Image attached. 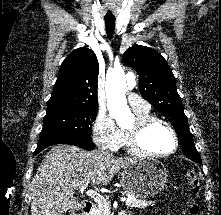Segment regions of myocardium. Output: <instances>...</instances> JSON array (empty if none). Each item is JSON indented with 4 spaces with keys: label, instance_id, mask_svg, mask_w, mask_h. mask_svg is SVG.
Here are the masks:
<instances>
[{
    "label": "myocardium",
    "instance_id": "obj_1",
    "mask_svg": "<svg viewBox=\"0 0 221 215\" xmlns=\"http://www.w3.org/2000/svg\"><path fill=\"white\" fill-rule=\"evenodd\" d=\"M155 123H161L164 126H166L173 137L174 146L168 152L154 153V152H151V151H148L147 149H145V147L142 144L143 134L151 125H153ZM127 137H128L129 147L134 153L142 155V156H146V157H151V158L168 157V156L174 154L179 147V138H178L177 132L174 129V127L165 119H162V118L156 117V116L137 118L133 127L128 129Z\"/></svg>",
    "mask_w": 221,
    "mask_h": 215
}]
</instances>
